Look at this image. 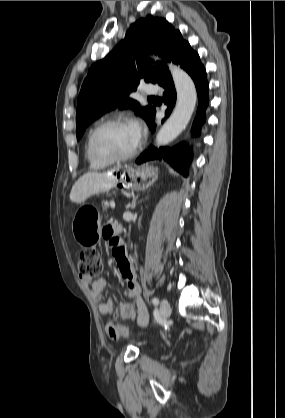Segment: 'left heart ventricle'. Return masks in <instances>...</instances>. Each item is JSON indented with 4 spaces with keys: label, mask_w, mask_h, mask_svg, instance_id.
I'll return each instance as SVG.
<instances>
[{
    "label": "left heart ventricle",
    "mask_w": 285,
    "mask_h": 418,
    "mask_svg": "<svg viewBox=\"0 0 285 418\" xmlns=\"http://www.w3.org/2000/svg\"><path fill=\"white\" fill-rule=\"evenodd\" d=\"M137 140L128 125L111 126L97 136V146L116 156L125 155L130 152Z\"/></svg>",
    "instance_id": "left-heart-ventricle-1"
}]
</instances>
